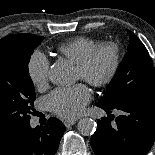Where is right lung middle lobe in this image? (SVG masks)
Returning <instances> with one entry per match:
<instances>
[{"label":"right lung middle lobe","mask_w":155,"mask_h":155,"mask_svg":"<svg viewBox=\"0 0 155 155\" xmlns=\"http://www.w3.org/2000/svg\"><path fill=\"white\" fill-rule=\"evenodd\" d=\"M43 37L9 35L0 40V136L30 124L36 98L28 63Z\"/></svg>","instance_id":"1"}]
</instances>
